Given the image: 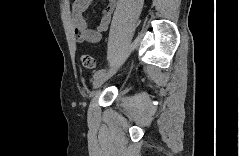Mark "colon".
I'll list each match as a JSON object with an SVG mask.
<instances>
[{"label": "colon", "instance_id": "obj_1", "mask_svg": "<svg viewBox=\"0 0 239 156\" xmlns=\"http://www.w3.org/2000/svg\"><path fill=\"white\" fill-rule=\"evenodd\" d=\"M81 63L87 69L93 70V69L96 68L95 59L88 54H82L81 55Z\"/></svg>", "mask_w": 239, "mask_h": 156}]
</instances>
